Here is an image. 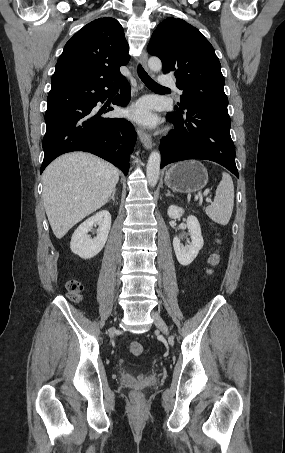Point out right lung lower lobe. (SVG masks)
I'll return each instance as SVG.
<instances>
[{
    "label": "right lung lower lobe",
    "instance_id": "1",
    "mask_svg": "<svg viewBox=\"0 0 285 453\" xmlns=\"http://www.w3.org/2000/svg\"><path fill=\"white\" fill-rule=\"evenodd\" d=\"M118 87H122L121 93L113 104L125 106L130 100V86L124 77L97 84L80 81L52 84L47 97L44 160L40 173L61 154L85 151L111 162L127 175L129 155L136 141L132 124L125 119L98 117L100 112L93 115L97 102H103L107 92ZM110 110L113 108L107 109Z\"/></svg>",
    "mask_w": 285,
    "mask_h": 453
}]
</instances>
